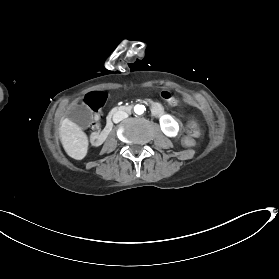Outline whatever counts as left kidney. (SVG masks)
Masks as SVG:
<instances>
[{
	"label": "left kidney",
	"instance_id": "5707ae66",
	"mask_svg": "<svg viewBox=\"0 0 279 279\" xmlns=\"http://www.w3.org/2000/svg\"><path fill=\"white\" fill-rule=\"evenodd\" d=\"M162 132L168 137H175L179 131V124L170 115H163L160 118Z\"/></svg>",
	"mask_w": 279,
	"mask_h": 279
}]
</instances>
